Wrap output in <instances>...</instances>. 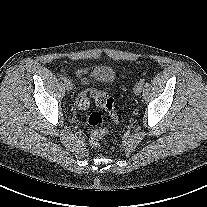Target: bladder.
<instances>
[{
	"label": "bladder",
	"mask_w": 207,
	"mask_h": 207,
	"mask_svg": "<svg viewBox=\"0 0 207 207\" xmlns=\"http://www.w3.org/2000/svg\"><path fill=\"white\" fill-rule=\"evenodd\" d=\"M92 76L95 82L105 84L114 80L115 72L111 67L102 65L93 70Z\"/></svg>",
	"instance_id": "obj_1"
}]
</instances>
